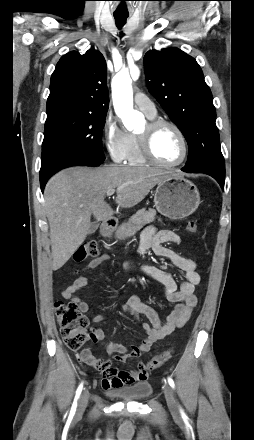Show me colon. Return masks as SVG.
<instances>
[{
    "label": "colon",
    "mask_w": 254,
    "mask_h": 440,
    "mask_svg": "<svg viewBox=\"0 0 254 440\" xmlns=\"http://www.w3.org/2000/svg\"><path fill=\"white\" fill-rule=\"evenodd\" d=\"M187 229L191 233L198 232V223L196 219H191L188 223ZM99 254L98 246L95 242H86L80 245L73 253V260L76 262H83L87 258L96 257ZM57 321L60 326V334L66 346L73 351H79L84 348L91 333L88 332L89 320L82 315L77 306L73 303H65L58 301L55 304ZM173 354V350L168 349L161 354L152 358L146 368L153 370L166 361H168Z\"/></svg>",
    "instance_id": "obj_1"
}]
</instances>
